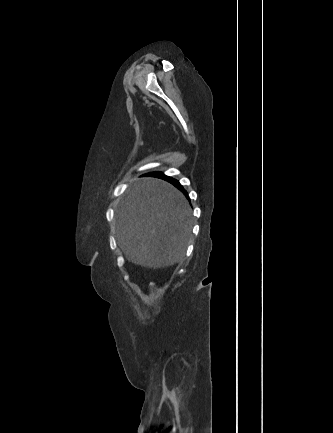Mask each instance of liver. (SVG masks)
Listing matches in <instances>:
<instances>
[{
	"label": "liver",
	"mask_w": 333,
	"mask_h": 433,
	"mask_svg": "<svg viewBox=\"0 0 333 433\" xmlns=\"http://www.w3.org/2000/svg\"><path fill=\"white\" fill-rule=\"evenodd\" d=\"M116 238L126 258L148 268L181 261L191 233V209L185 196L156 178L136 180L116 211Z\"/></svg>",
	"instance_id": "obj_1"
}]
</instances>
